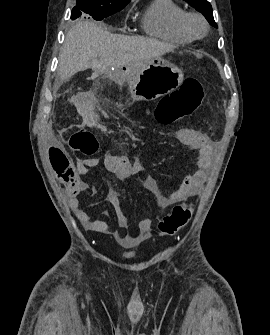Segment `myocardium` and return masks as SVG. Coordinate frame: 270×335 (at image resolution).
Returning <instances> with one entry per match:
<instances>
[{
    "mask_svg": "<svg viewBox=\"0 0 270 335\" xmlns=\"http://www.w3.org/2000/svg\"><path fill=\"white\" fill-rule=\"evenodd\" d=\"M192 19H198L199 21H201V23L203 24L204 26V32L203 34L201 35H196L191 27H190V21ZM181 27L183 29V31L188 35L190 36L191 38L193 39H201L203 37H205L208 33V30H209V25L206 21V19L199 13H196V12H188V13H185L181 19Z\"/></svg>",
    "mask_w": 270,
    "mask_h": 335,
    "instance_id": "myocardium-1",
    "label": "myocardium"
}]
</instances>
